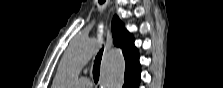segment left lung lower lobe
I'll use <instances>...</instances> for the list:
<instances>
[{"label": "left lung lower lobe", "mask_w": 223, "mask_h": 88, "mask_svg": "<svg viewBox=\"0 0 223 88\" xmlns=\"http://www.w3.org/2000/svg\"><path fill=\"white\" fill-rule=\"evenodd\" d=\"M140 65L126 66L123 88H138L140 82Z\"/></svg>", "instance_id": "1"}]
</instances>
